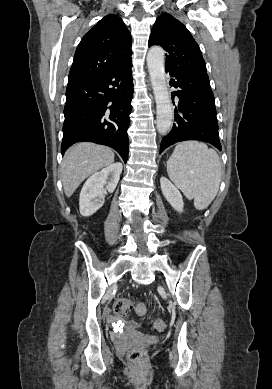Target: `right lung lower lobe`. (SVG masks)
Returning <instances> with one entry per match:
<instances>
[{"label":"right lung lower lobe","mask_w":272,"mask_h":389,"mask_svg":"<svg viewBox=\"0 0 272 389\" xmlns=\"http://www.w3.org/2000/svg\"><path fill=\"white\" fill-rule=\"evenodd\" d=\"M131 67L129 60L100 74L69 79L62 153L75 142L89 141L114 148L127 161L134 92Z\"/></svg>","instance_id":"1"}]
</instances>
